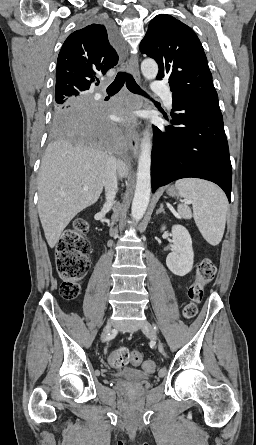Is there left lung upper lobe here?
I'll return each mask as SVG.
<instances>
[{
  "mask_svg": "<svg viewBox=\"0 0 256 445\" xmlns=\"http://www.w3.org/2000/svg\"><path fill=\"white\" fill-rule=\"evenodd\" d=\"M140 51L158 63L157 79H169L173 94L218 103L203 47L189 26L170 15L155 16Z\"/></svg>",
  "mask_w": 256,
  "mask_h": 445,
  "instance_id": "1",
  "label": "left lung upper lobe"
}]
</instances>
